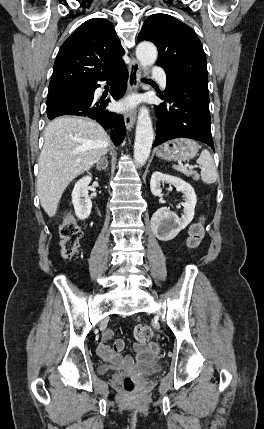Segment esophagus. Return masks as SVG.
Segmentation results:
<instances>
[{"mask_svg":"<svg viewBox=\"0 0 264 429\" xmlns=\"http://www.w3.org/2000/svg\"><path fill=\"white\" fill-rule=\"evenodd\" d=\"M140 84V65L134 58L131 59L129 66V78H128V93L136 92ZM124 121L126 128L130 131L136 121V112L131 110L124 114Z\"/></svg>","mask_w":264,"mask_h":429,"instance_id":"34e87169","label":"esophagus"}]
</instances>
